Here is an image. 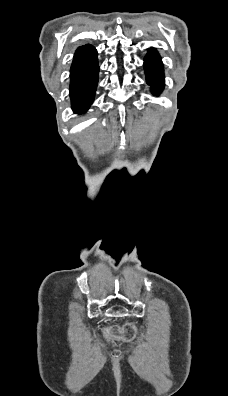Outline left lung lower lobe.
<instances>
[{
  "label": "left lung lower lobe",
  "instance_id": "left-lung-lower-lobe-1",
  "mask_svg": "<svg viewBox=\"0 0 228 396\" xmlns=\"http://www.w3.org/2000/svg\"><path fill=\"white\" fill-rule=\"evenodd\" d=\"M159 54L151 48L144 59L146 81L151 86L152 92L158 94L164 88V70Z\"/></svg>",
  "mask_w": 228,
  "mask_h": 396
}]
</instances>
